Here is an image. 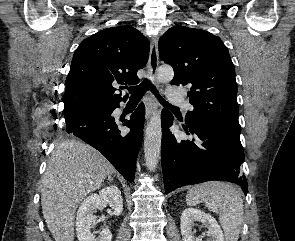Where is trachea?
<instances>
[{
  "label": "trachea",
  "instance_id": "3493384b",
  "mask_svg": "<svg viewBox=\"0 0 295 241\" xmlns=\"http://www.w3.org/2000/svg\"><path fill=\"white\" fill-rule=\"evenodd\" d=\"M148 90L156 96L159 102L169 108H176L175 106L171 105L167 101H165L160 94L158 93L157 89L150 83L148 79H145L140 85L134 86L129 88V93L131 94L130 100H140L144 93Z\"/></svg>",
  "mask_w": 295,
  "mask_h": 241
}]
</instances>
